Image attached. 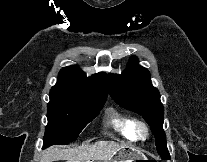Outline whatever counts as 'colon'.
Instances as JSON below:
<instances>
[{"label":"colon","instance_id":"obj_1","mask_svg":"<svg viewBox=\"0 0 207 162\" xmlns=\"http://www.w3.org/2000/svg\"><path fill=\"white\" fill-rule=\"evenodd\" d=\"M143 162H158V161H154V160H146V161H143Z\"/></svg>","mask_w":207,"mask_h":162}]
</instances>
